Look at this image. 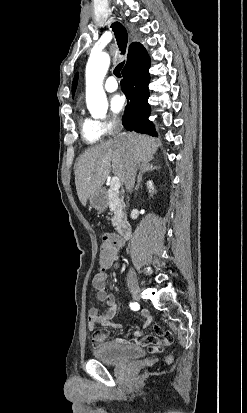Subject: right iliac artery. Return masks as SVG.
Listing matches in <instances>:
<instances>
[{"instance_id":"obj_1","label":"right iliac artery","mask_w":247,"mask_h":413,"mask_svg":"<svg viewBox=\"0 0 247 413\" xmlns=\"http://www.w3.org/2000/svg\"><path fill=\"white\" fill-rule=\"evenodd\" d=\"M130 308H131L132 310L136 311V310H138L140 307H139V304H138L137 302H133V303H130Z\"/></svg>"}]
</instances>
